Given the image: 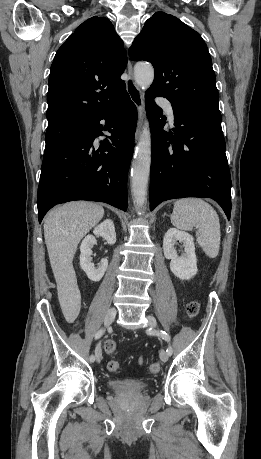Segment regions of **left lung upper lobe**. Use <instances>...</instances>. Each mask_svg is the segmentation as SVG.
<instances>
[{
    "label": "left lung upper lobe",
    "instance_id": "5c2ea615",
    "mask_svg": "<svg viewBox=\"0 0 261 459\" xmlns=\"http://www.w3.org/2000/svg\"><path fill=\"white\" fill-rule=\"evenodd\" d=\"M129 56L151 62L155 78L149 92L166 97L179 110L220 115L215 73L202 37L164 12L148 19Z\"/></svg>",
    "mask_w": 261,
    "mask_h": 459
}]
</instances>
